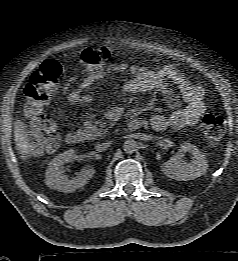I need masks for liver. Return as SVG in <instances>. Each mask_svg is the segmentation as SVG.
Listing matches in <instances>:
<instances>
[{
    "instance_id": "liver-1",
    "label": "liver",
    "mask_w": 238,
    "mask_h": 261,
    "mask_svg": "<svg viewBox=\"0 0 238 261\" xmlns=\"http://www.w3.org/2000/svg\"><path fill=\"white\" fill-rule=\"evenodd\" d=\"M14 140L16 147L21 154V158L23 160L27 159L30 156V152L34 149V146L29 141L24 124L19 120L15 122Z\"/></svg>"
}]
</instances>
